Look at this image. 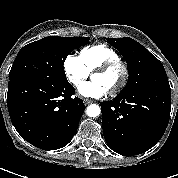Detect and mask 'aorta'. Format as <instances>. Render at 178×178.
<instances>
[{
    "label": "aorta",
    "instance_id": "obj_1",
    "mask_svg": "<svg viewBox=\"0 0 178 178\" xmlns=\"http://www.w3.org/2000/svg\"><path fill=\"white\" fill-rule=\"evenodd\" d=\"M100 113H101V109L99 105L91 104L86 108V114L89 117H97L100 115Z\"/></svg>",
    "mask_w": 178,
    "mask_h": 178
}]
</instances>
